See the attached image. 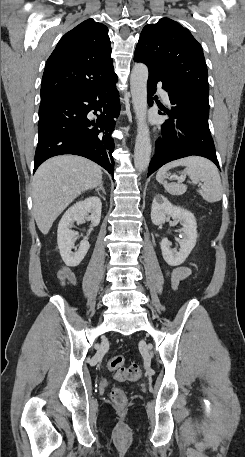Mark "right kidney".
Listing matches in <instances>:
<instances>
[{
	"mask_svg": "<svg viewBox=\"0 0 245 457\" xmlns=\"http://www.w3.org/2000/svg\"><path fill=\"white\" fill-rule=\"evenodd\" d=\"M101 208L102 202L100 198L98 196H89L85 200L75 202L73 206H70L64 212L58 224L57 243L60 251L67 253L70 267H77L83 261L90 247L88 241H81L79 249L73 253L72 249H76V247H74L72 239L78 235L75 231H71L74 222L80 224L84 218H87V220H91V226H97L101 218Z\"/></svg>",
	"mask_w": 245,
	"mask_h": 457,
	"instance_id": "right-kidney-1",
	"label": "right kidney"
}]
</instances>
